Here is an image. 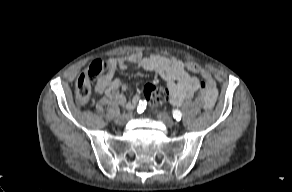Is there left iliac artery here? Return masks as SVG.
<instances>
[{"label":"left iliac artery","mask_w":292,"mask_h":192,"mask_svg":"<svg viewBox=\"0 0 292 192\" xmlns=\"http://www.w3.org/2000/svg\"><path fill=\"white\" fill-rule=\"evenodd\" d=\"M173 117L179 121L182 118V113L179 110H173Z\"/></svg>","instance_id":"44dca946"}]
</instances>
